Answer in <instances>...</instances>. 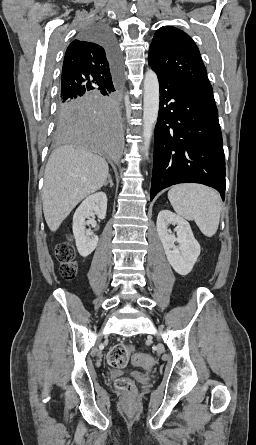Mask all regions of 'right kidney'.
I'll list each match as a JSON object with an SVG mask.
<instances>
[{"label":"right kidney","mask_w":256,"mask_h":445,"mask_svg":"<svg viewBox=\"0 0 256 445\" xmlns=\"http://www.w3.org/2000/svg\"><path fill=\"white\" fill-rule=\"evenodd\" d=\"M107 210V196L104 192H97L88 196L76 209L73 216V234L76 247L82 257L90 255L98 244V236L91 230L86 229L90 219L97 215L99 219H104Z\"/></svg>","instance_id":"ca27d5eb"}]
</instances>
